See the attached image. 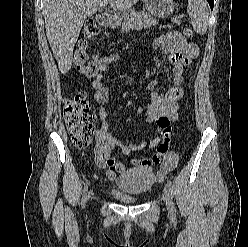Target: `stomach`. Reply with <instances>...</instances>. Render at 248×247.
Instances as JSON below:
<instances>
[{
    "label": "stomach",
    "mask_w": 248,
    "mask_h": 247,
    "mask_svg": "<svg viewBox=\"0 0 248 247\" xmlns=\"http://www.w3.org/2000/svg\"><path fill=\"white\" fill-rule=\"evenodd\" d=\"M147 10L159 17H166L170 15L174 10L173 0H143ZM112 27L120 25V19L115 20L114 23L110 24Z\"/></svg>",
    "instance_id": "obj_1"
}]
</instances>
